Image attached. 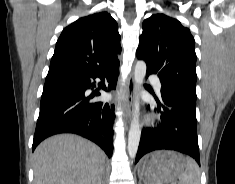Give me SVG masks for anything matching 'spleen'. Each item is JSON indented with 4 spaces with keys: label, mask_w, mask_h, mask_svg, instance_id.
<instances>
[{
    "label": "spleen",
    "mask_w": 235,
    "mask_h": 184,
    "mask_svg": "<svg viewBox=\"0 0 235 184\" xmlns=\"http://www.w3.org/2000/svg\"><path fill=\"white\" fill-rule=\"evenodd\" d=\"M199 168L195 160H186V170L181 174L178 184H200Z\"/></svg>",
    "instance_id": "spleen-1"
}]
</instances>
